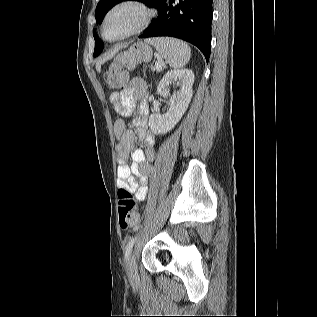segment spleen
<instances>
[{
    "instance_id": "3e777b00",
    "label": "spleen",
    "mask_w": 317,
    "mask_h": 317,
    "mask_svg": "<svg viewBox=\"0 0 317 317\" xmlns=\"http://www.w3.org/2000/svg\"><path fill=\"white\" fill-rule=\"evenodd\" d=\"M146 42L153 45L161 57L173 68L184 67L191 57L190 47L179 39L159 37L148 39Z\"/></svg>"
}]
</instances>
